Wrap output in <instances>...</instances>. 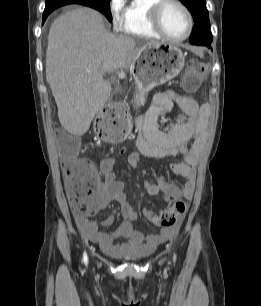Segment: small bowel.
Returning <instances> with one entry per match:
<instances>
[{"label": "small bowel", "instance_id": "1", "mask_svg": "<svg viewBox=\"0 0 261 306\" xmlns=\"http://www.w3.org/2000/svg\"><path fill=\"white\" fill-rule=\"evenodd\" d=\"M175 105L180 107L187 119L183 123L174 125L170 131L164 132L158 127L159 119L169 113ZM207 114L208 107L200 106L194 98L167 90L156 93L152 105L137 117L136 150L128 155L129 166L139 168L142 158L178 159L179 161L172 163L170 167L174 175L183 179L181 186L170 183L164 178H159L156 182L146 181L144 187L149 195L156 196L162 192L167 201L192 198L194 167L198 164L205 146L203 120ZM125 151L126 148H122L117 154L102 159L100 163L102 179L96 175L92 207L75 215L82 235L97 244L106 255L115 257L127 253H149L158 244L172 239L178 231V225H173L145 238L133 226L136 213L126 202L124 182L118 180L113 171L117 156ZM83 162L90 163L86 159L75 157V163ZM71 164L72 162L63 160L64 173H67ZM112 202L120 205L123 221L112 233H105L98 229L97 223L90 217ZM151 214V211L144 210L147 219ZM114 219V216L110 215L102 220L101 225L110 227ZM121 239L124 241L119 242Z\"/></svg>", "mask_w": 261, "mask_h": 306}]
</instances>
